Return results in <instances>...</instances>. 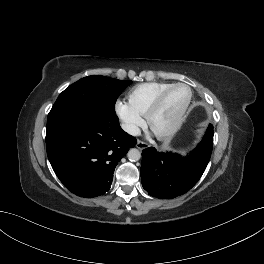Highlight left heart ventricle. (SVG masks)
<instances>
[{
	"instance_id": "left-heart-ventricle-1",
	"label": "left heart ventricle",
	"mask_w": 264,
	"mask_h": 264,
	"mask_svg": "<svg viewBox=\"0 0 264 264\" xmlns=\"http://www.w3.org/2000/svg\"><path fill=\"white\" fill-rule=\"evenodd\" d=\"M188 98V90L184 87L172 89L165 97L160 110L153 118L154 129H166L176 118Z\"/></svg>"
}]
</instances>
